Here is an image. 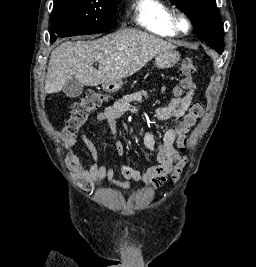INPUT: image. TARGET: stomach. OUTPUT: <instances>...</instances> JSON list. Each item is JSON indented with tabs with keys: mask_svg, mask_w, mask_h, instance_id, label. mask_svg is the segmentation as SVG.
<instances>
[{
	"mask_svg": "<svg viewBox=\"0 0 256 267\" xmlns=\"http://www.w3.org/2000/svg\"><path fill=\"white\" fill-rule=\"evenodd\" d=\"M180 60V54L176 50H170V52H163V54H158L155 58L156 66L165 70V68H172L174 64H177Z\"/></svg>",
	"mask_w": 256,
	"mask_h": 267,
	"instance_id": "1",
	"label": "stomach"
}]
</instances>
